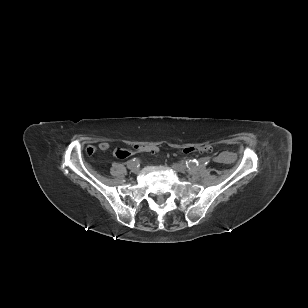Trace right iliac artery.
<instances>
[{"mask_svg": "<svg viewBox=\"0 0 308 308\" xmlns=\"http://www.w3.org/2000/svg\"><path fill=\"white\" fill-rule=\"evenodd\" d=\"M139 164H140V160L137 159V158H134V159L129 160V161L127 162V167H128L129 169H132V168L135 167V166L138 167Z\"/></svg>", "mask_w": 308, "mask_h": 308, "instance_id": "82829eb1", "label": "right iliac artery"}]
</instances>
